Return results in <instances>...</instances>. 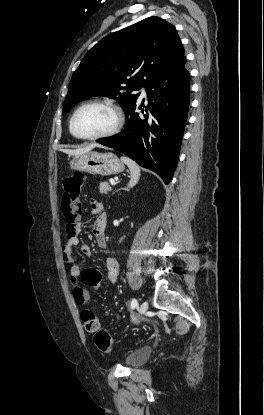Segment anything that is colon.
Instances as JSON below:
<instances>
[{"label":"colon","instance_id":"1","mask_svg":"<svg viewBox=\"0 0 264 415\" xmlns=\"http://www.w3.org/2000/svg\"><path fill=\"white\" fill-rule=\"evenodd\" d=\"M84 175L76 171L64 181V193L62 197V213L65 218V233L73 237L78 231V222L81 215L82 205L80 191L84 183ZM73 296L78 305H85L89 298L87 288H96L102 282V274L97 269H87L79 277V281L72 279ZM85 329L94 334L97 347L104 353L113 351V339L108 332L100 328L99 319L91 309L83 312Z\"/></svg>","mask_w":264,"mask_h":415}]
</instances>
